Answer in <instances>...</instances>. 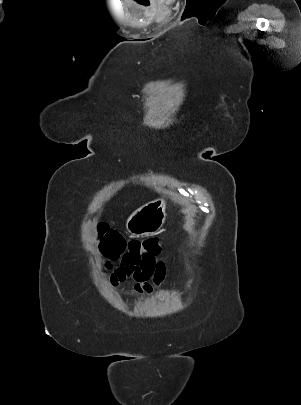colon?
I'll return each instance as SVG.
<instances>
[{"label": "colon", "mask_w": 301, "mask_h": 405, "mask_svg": "<svg viewBox=\"0 0 301 405\" xmlns=\"http://www.w3.org/2000/svg\"><path fill=\"white\" fill-rule=\"evenodd\" d=\"M96 234L100 250L110 261H117L126 256L157 255L161 251L157 235L152 234L148 239L143 241H126L121 234L110 229L105 223H98L96 225Z\"/></svg>", "instance_id": "colon-1"}]
</instances>
